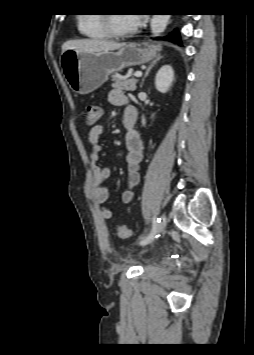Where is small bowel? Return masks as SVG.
<instances>
[{"label": "small bowel", "mask_w": 254, "mask_h": 355, "mask_svg": "<svg viewBox=\"0 0 254 355\" xmlns=\"http://www.w3.org/2000/svg\"><path fill=\"white\" fill-rule=\"evenodd\" d=\"M108 100L114 106H125L123 115L124 125L127 120L134 121L135 124L138 117L137 108L128 104V99L122 90L118 88L112 89L109 92ZM103 132L104 127L102 125H95L89 130L87 136L90 145L91 191L94 201L101 207V217L104 220H110L112 218V211L104 206L109 193L103 186V183L111 176V169L109 167H101L97 164L102 152V145L99 138ZM125 144L127 148L126 166L128 170V188L122 193L121 199L123 203H130L134 196L133 188L140 182L139 168L144 155V141L138 131L134 128H127Z\"/></svg>", "instance_id": "small-bowel-1"}]
</instances>
